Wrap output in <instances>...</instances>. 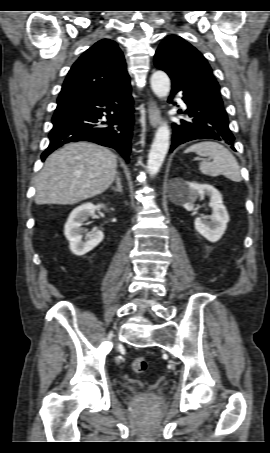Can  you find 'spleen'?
Listing matches in <instances>:
<instances>
[{
    "label": "spleen",
    "instance_id": "obj_1",
    "mask_svg": "<svg viewBox=\"0 0 270 453\" xmlns=\"http://www.w3.org/2000/svg\"><path fill=\"white\" fill-rule=\"evenodd\" d=\"M190 152L212 159V162H200L199 170L203 174L208 176L224 175L235 182L242 180L237 160L223 145L211 141L200 142L185 150V153Z\"/></svg>",
    "mask_w": 270,
    "mask_h": 453
}]
</instances>
